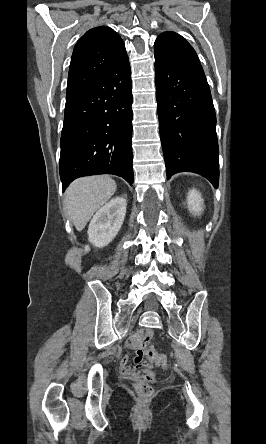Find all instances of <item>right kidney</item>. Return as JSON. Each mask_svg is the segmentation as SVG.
<instances>
[{
  "instance_id": "obj_1",
  "label": "right kidney",
  "mask_w": 266,
  "mask_h": 444,
  "mask_svg": "<svg viewBox=\"0 0 266 444\" xmlns=\"http://www.w3.org/2000/svg\"><path fill=\"white\" fill-rule=\"evenodd\" d=\"M127 202L115 197L93 216L88 227V239L96 247L108 245L118 234L126 213Z\"/></svg>"
}]
</instances>
